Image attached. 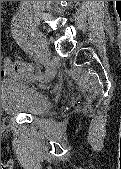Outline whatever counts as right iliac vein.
<instances>
[{
    "mask_svg": "<svg viewBox=\"0 0 121 169\" xmlns=\"http://www.w3.org/2000/svg\"><path fill=\"white\" fill-rule=\"evenodd\" d=\"M21 21L23 28L27 32H30V34L33 36L35 44L38 46L40 51L44 55H47L49 53V47L44 35L38 30V28L34 25V23L30 18L23 17ZM53 75L54 74H52L50 70L49 77L46 79V81L50 80L53 77Z\"/></svg>",
    "mask_w": 121,
    "mask_h": 169,
    "instance_id": "1",
    "label": "right iliac vein"
}]
</instances>
